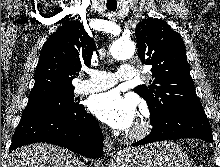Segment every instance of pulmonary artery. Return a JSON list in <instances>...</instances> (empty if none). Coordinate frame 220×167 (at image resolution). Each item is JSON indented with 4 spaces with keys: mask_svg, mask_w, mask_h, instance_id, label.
Listing matches in <instances>:
<instances>
[{
    "mask_svg": "<svg viewBox=\"0 0 220 167\" xmlns=\"http://www.w3.org/2000/svg\"><path fill=\"white\" fill-rule=\"evenodd\" d=\"M88 74L89 80L79 85L81 94L102 91L114 86L119 81L133 79L137 75V70L133 65L123 63L117 74L102 70H91Z\"/></svg>",
    "mask_w": 220,
    "mask_h": 167,
    "instance_id": "pulmonary-artery-1",
    "label": "pulmonary artery"
}]
</instances>
